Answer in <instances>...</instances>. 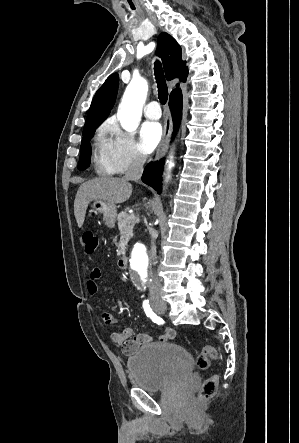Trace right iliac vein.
Returning <instances> with one entry per match:
<instances>
[{"label":"right iliac vein","mask_w":299,"mask_h":443,"mask_svg":"<svg viewBox=\"0 0 299 443\" xmlns=\"http://www.w3.org/2000/svg\"><path fill=\"white\" fill-rule=\"evenodd\" d=\"M155 309L160 313H164L167 310V306L164 303H158L155 305Z\"/></svg>","instance_id":"right-iliac-vein-1"}]
</instances>
